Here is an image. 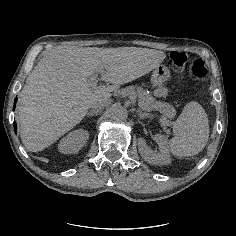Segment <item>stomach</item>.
Wrapping results in <instances>:
<instances>
[{
  "label": "stomach",
  "instance_id": "stomach-1",
  "mask_svg": "<svg viewBox=\"0 0 236 236\" xmlns=\"http://www.w3.org/2000/svg\"><path fill=\"white\" fill-rule=\"evenodd\" d=\"M170 78V72L167 67L165 66H159L156 68L151 76V82L155 88L154 95L161 97L165 96L168 92V89L166 88L165 84Z\"/></svg>",
  "mask_w": 236,
  "mask_h": 236
}]
</instances>
